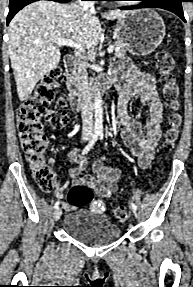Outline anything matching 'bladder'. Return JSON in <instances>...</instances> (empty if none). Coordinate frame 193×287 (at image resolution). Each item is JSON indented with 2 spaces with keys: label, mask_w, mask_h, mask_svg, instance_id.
I'll return each instance as SVG.
<instances>
[{
  "label": "bladder",
  "mask_w": 193,
  "mask_h": 287,
  "mask_svg": "<svg viewBox=\"0 0 193 287\" xmlns=\"http://www.w3.org/2000/svg\"><path fill=\"white\" fill-rule=\"evenodd\" d=\"M63 230L71 237L89 245H101L120 237V227L106 216L88 209H78L66 215Z\"/></svg>",
  "instance_id": "obj_1"
}]
</instances>
